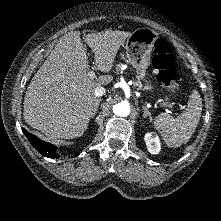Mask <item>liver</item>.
<instances>
[{
  "instance_id": "liver-1",
  "label": "liver",
  "mask_w": 221,
  "mask_h": 221,
  "mask_svg": "<svg viewBox=\"0 0 221 221\" xmlns=\"http://www.w3.org/2000/svg\"><path fill=\"white\" fill-rule=\"evenodd\" d=\"M132 33L101 31L85 36L98 70L109 72L119 48ZM88 56L80 32L62 36L32 78L24 97V120L46 136L73 139L83 135L97 106L94 90L111 75L88 77Z\"/></svg>"
}]
</instances>
